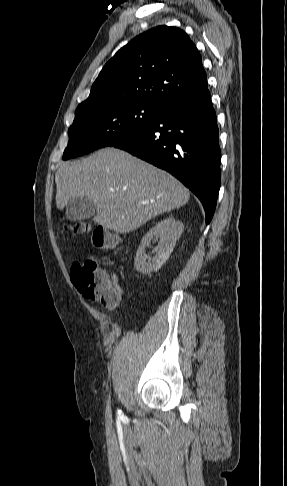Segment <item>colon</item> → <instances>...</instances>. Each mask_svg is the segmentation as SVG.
<instances>
[{
    "label": "colon",
    "mask_w": 287,
    "mask_h": 486,
    "mask_svg": "<svg viewBox=\"0 0 287 486\" xmlns=\"http://www.w3.org/2000/svg\"><path fill=\"white\" fill-rule=\"evenodd\" d=\"M72 228L77 233L90 234L91 241L96 248L111 249L117 244V236L101 226L79 222ZM70 276L74 286L87 299L100 302L108 307H114L121 301V296L114 287L111 276L99 266L94 257L74 263Z\"/></svg>",
    "instance_id": "1"
}]
</instances>
